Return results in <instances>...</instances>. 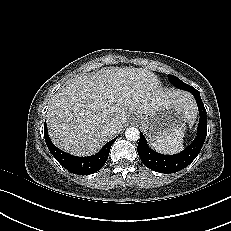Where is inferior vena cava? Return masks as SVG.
I'll use <instances>...</instances> for the list:
<instances>
[{
    "label": "inferior vena cava",
    "mask_w": 231,
    "mask_h": 231,
    "mask_svg": "<svg viewBox=\"0 0 231 231\" xmlns=\"http://www.w3.org/2000/svg\"><path fill=\"white\" fill-rule=\"evenodd\" d=\"M107 129L111 133L116 134L118 132V130H120V125H117L116 123H111V124H109V126L107 127Z\"/></svg>",
    "instance_id": "602c4592"
}]
</instances>
